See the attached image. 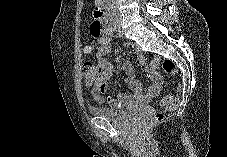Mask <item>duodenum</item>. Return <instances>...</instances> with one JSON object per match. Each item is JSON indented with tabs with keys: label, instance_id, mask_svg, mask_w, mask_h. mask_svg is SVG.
<instances>
[{
	"label": "duodenum",
	"instance_id": "410a0bca",
	"mask_svg": "<svg viewBox=\"0 0 227 157\" xmlns=\"http://www.w3.org/2000/svg\"><path fill=\"white\" fill-rule=\"evenodd\" d=\"M94 25H91V30L93 32H108L109 26L105 21L104 17V9L101 7L96 11V15L94 17Z\"/></svg>",
	"mask_w": 227,
	"mask_h": 157
}]
</instances>
